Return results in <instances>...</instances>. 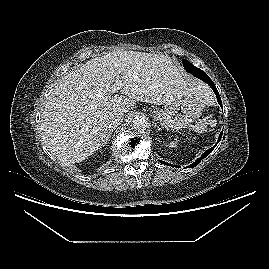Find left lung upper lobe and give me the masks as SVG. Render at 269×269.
Here are the masks:
<instances>
[{"mask_svg":"<svg viewBox=\"0 0 269 269\" xmlns=\"http://www.w3.org/2000/svg\"><path fill=\"white\" fill-rule=\"evenodd\" d=\"M182 62H183V66H184L185 70L188 73L192 74L199 69V68L195 67L194 65H192L188 60L183 59ZM199 70H201V69H199Z\"/></svg>","mask_w":269,"mask_h":269,"instance_id":"1","label":"left lung upper lobe"}]
</instances>
